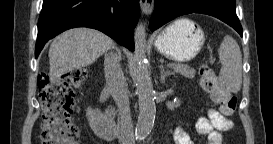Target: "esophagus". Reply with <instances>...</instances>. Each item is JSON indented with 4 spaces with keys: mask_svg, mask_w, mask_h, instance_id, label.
Returning <instances> with one entry per match:
<instances>
[{
    "mask_svg": "<svg viewBox=\"0 0 273 144\" xmlns=\"http://www.w3.org/2000/svg\"><path fill=\"white\" fill-rule=\"evenodd\" d=\"M154 6V0H140V7L145 15H150Z\"/></svg>",
    "mask_w": 273,
    "mask_h": 144,
    "instance_id": "esophagus-1",
    "label": "esophagus"
}]
</instances>
